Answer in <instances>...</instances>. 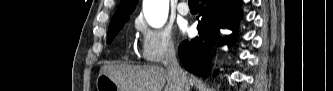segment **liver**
<instances>
[{
	"instance_id": "liver-1",
	"label": "liver",
	"mask_w": 333,
	"mask_h": 91,
	"mask_svg": "<svg viewBox=\"0 0 333 91\" xmlns=\"http://www.w3.org/2000/svg\"><path fill=\"white\" fill-rule=\"evenodd\" d=\"M184 73L189 83V76ZM99 74L109 76L122 91H162L163 88L164 91H178L177 81L161 66L107 64L101 67Z\"/></svg>"
}]
</instances>
